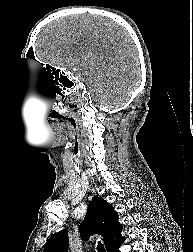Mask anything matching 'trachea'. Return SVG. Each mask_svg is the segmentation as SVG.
Here are the masks:
<instances>
[{"label": "trachea", "mask_w": 193, "mask_h": 252, "mask_svg": "<svg viewBox=\"0 0 193 252\" xmlns=\"http://www.w3.org/2000/svg\"><path fill=\"white\" fill-rule=\"evenodd\" d=\"M98 251L99 252H105V248H104L103 244L100 241L98 242Z\"/></svg>", "instance_id": "trachea-1"}]
</instances>
